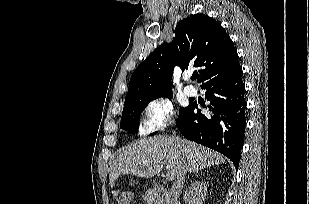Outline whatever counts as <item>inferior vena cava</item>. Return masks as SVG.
<instances>
[{
    "label": "inferior vena cava",
    "mask_w": 309,
    "mask_h": 204,
    "mask_svg": "<svg viewBox=\"0 0 309 204\" xmlns=\"http://www.w3.org/2000/svg\"><path fill=\"white\" fill-rule=\"evenodd\" d=\"M187 170L185 168L181 169L176 176L175 182L172 185L168 196V203L167 204H176L177 198L179 197L181 188L183 187L185 175Z\"/></svg>",
    "instance_id": "inferior-vena-cava-1"
}]
</instances>
